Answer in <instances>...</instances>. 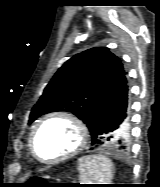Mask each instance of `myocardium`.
Instances as JSON below:
<instances>
[{
  "label": "myocardium",
  "mask_w": 160,
  "mask_h": 187,
  "mask_svg": "<svg viewBox=\"0 0 160 187\" xmlns=\"http://www.w3.org/2000/svg\"><path fill=\"white\" fill-rule=\"evenodd\" d=\"M54 118H63L74 125V127L76 128V131L78 133V137H79L78 143L68 153H66L62 156H59L55 159H52V160H45L39 156V154L36 150V137H37V134H38L39 130L41 129V127L47 121L54 119ZM88 138H89L88 128H87L85 122L79 116H77L76 114H74L72 112H68V111H56V112H52V113L45 115L36 123V125L34 126L32 132H31V136H30V149H31L33 156L39 162H41L43 164L51 165V164H56V163L62 162L64 160H67L69 158H72L73 156L80 153L83 150V148L86 146Z\"/></svg>",
  "instance_id": "myocardium-1"
}]
</instances>
